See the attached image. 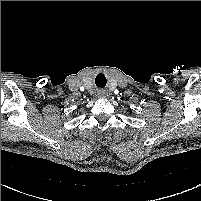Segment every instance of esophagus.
Instances as JSON below:
<instances>
[{
	"label": "esophagus",
	"mask_w": 201,
	"mask_h": 201,
	"mask_svg": "<svg viewBox=\"0 0 201 201\" xmlns=\"http://www.w3.org/2000/svg\"><path fill=\"white\" fill-rule=\"evenodd\" d=\"M97 95H98L99 98H103V97L106 96V92L104 90H100V91H98Z\"/></svg>",
	"instance_id": "obj_1"
}]
</instances>
